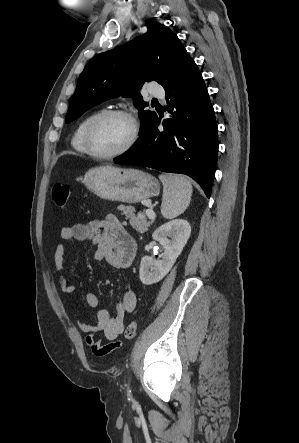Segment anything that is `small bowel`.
Segmentation results:
<instances>
[{"mask_svg": "<svg viewBox=\"0 0 299 443\" xmlns=\"http://www.w3.org/2000/svg\"><path fill=\"white\" fill-rule=\"evenodd\" d=\"M59 238L61 241H90L94 246V259L117 269L129 268L136 256L137 246L134 239L114 215H108L102 222L64 226L59 232ZM65 252V244L59 243L54 252V264L61 290L73 295L75 287L63 275ZM85 300L92 308L99 306V297L94 292H88ZM136 305V294L128 288L117 303L114 316L108 309L100 308L95 323L87 324L78 319V326L87 334L85 341L94 355L105 357L122 345L118 336L123 331L126 314L133 312ZM97 333H102L108 343L103 344L101 339L97 338Z\"/></svg>", "mask_w": 299, "mask_h": 443, "instance_id": "small-bowel-1", "label": "small bowel"}]
</instances>
